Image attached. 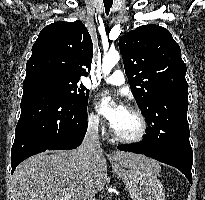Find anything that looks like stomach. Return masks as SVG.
I'll return each instance as SVG.
<instances>
[{
  "instance_id": "stomach-1",
  "label": "stomach",
  "mask_w": 205,
  "mask_h": 200,
  "mask_svg": "<svg viewBox=\"0 0 205 200\" xmlns=\"http://www.w3.org/2000/svg\"><path fill=\"white\" fill-rule=\"evenodd\" d=\"M113 169L126 184L132 200H165L163 184L154 169H123L117 165Z\"/></svg>"
}]
</instances>
